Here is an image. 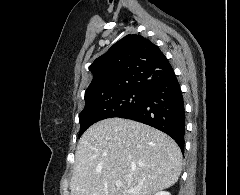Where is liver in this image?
Listing matches in <instances>:
<instances>
[{
	"label": "liver",
	"mask_w": 240,
	"mask_h": 195,
	"mask_svg": "<svg viewBox=\"0 0 240 195\" xmlns=\"http://www.w3.org/2000/svg\"><path fill=\"white\" fill-rule=\"evenodd\" d=\"M181 169V149L167 133L108 117L90 125L78 141L71 195H152L176 183Z\"/></svg>",
	"instance_id": "1"
}]
</instances>
